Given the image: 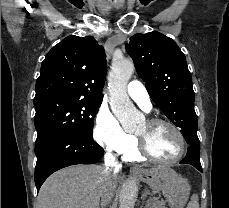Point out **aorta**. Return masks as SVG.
<instances>
[{"label":"aorta","mask_w":229,"mask_h":208,"mask_svg":"<svg viewBox=\"0 0 229 208\" xmlns=\"http://www.w3.org/2000/svg\"><path fill=\"white\" fill-rule=\"evenodd\" d=\"M134 72V64L129 60H120L112 63L108 77L110 106L112 112L126 130H132L143 120L140 113L127 94V84ZM138 194L135 180L124 183L119 198L120 208H134Z\"/></svg>","instance_id":"1"}]
</instances>
